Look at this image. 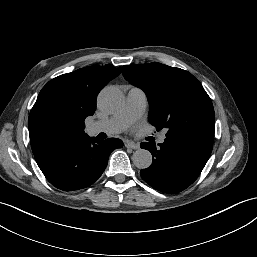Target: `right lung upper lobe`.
Returning a JSON list of instances; mask_svg holds the SVG:
<instances>
[{
  "instance_id": "1",
  "label": "right lung upper lobe",
  "mask_w": 257,
  "mask_h": 257,
  "mask_svg": "<svg viewBox=\"0 0 257 257\" xmlns=\"http://www.w3.org/2000/svg\"><path fill=\"white\" fill-rule=\"evenodd\" d=\"M120 70L89 66L50 80L40 91L28 119L33 154L65 139L87 136L84 120L94 114L99 90Z\"/></svg>"
}]
</instances>
